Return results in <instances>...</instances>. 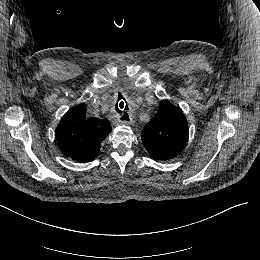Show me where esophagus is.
<instances>
[{
    "label": "esophagus",
    "instance_id": "esophagus-1",
    "mask_svg": "<svg viewBox=\"0 0 260 260\" xmlns=\"http://www.w3.org/2000/svg\"><path fill=\"white\" fill-rule=\"evenodd\" d=\"M118 122H121V120L118 119ZM122 123H123V124H132V123H133V119L130 118L129 120H122Z\"/></svg>",
    "mask_w": 260,
    "mask_h": 260
}]
</instances>
